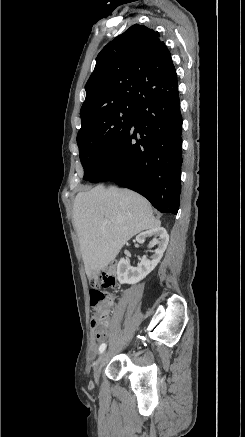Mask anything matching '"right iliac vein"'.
Wrapping results in <instances>:
<instances>
[{
    "instance_id": "63e3f726",
    "label": "right iliac vein",
    "mask_w": 245,
    "mask_h": 437,
    "mask_svg": "<svg viewBox=\"0 0 245 437\" xmlns=\"http://www.w3.org/2000/svg\"><path fill=\"white\" fill-rule=\"evenodd\" d=\"M107 356H108V352L104 351L102 353V355L100 356V358L98 359V361H97V363H96V365L94 367V379H95L96 382L99 379L101 369H102V367L105 364Z\"/></svg>"
}]
</instances>
